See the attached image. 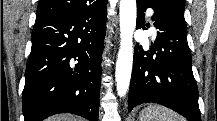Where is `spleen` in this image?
<instances>
[{"instance_id":"obj_1","label":"spleen","mask_w":217,"mask_h":121,"mask_svg":"<svg viewBox=\"0 0 217 121\" xmlns=\"http://www.w3.org/2000/svg\"><path fill=\"white\" fill-rule=\"evenodd\" d=\"M139 121H183V119L166 107L149 105L141 111Z\"/></svg>"}]
</instances>
